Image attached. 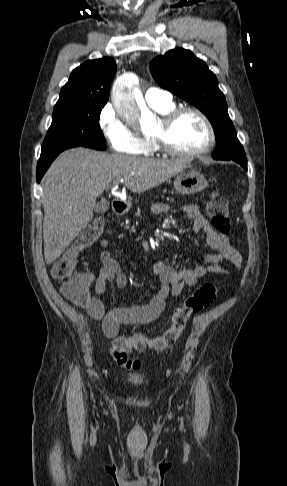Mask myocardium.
<instances>
[{"instance_id": "f54148a6", "label": "myocardium", "mask_w": 287, "mask_h": 486, "mask_svg": "<svg viewBox=\"0 0 287 486\" xmlns=\"http://www.w3.org/2000/svg\"><path fill=\"white\" fill-rule=\"evenodd\" d=\"M186 113H193L197 115L205 125L207 131V143L204 147L198 150L181 151L174 148L169 141V133L173 125L182 115ZM151 139L156 145L157 149L161 152L180 158H195L207 154L213 149L216 143V135L211 121L203 111L194 106L177 107L164 114L160 120L159 131L153 134Z\"/></svg>"}]
</instances>
